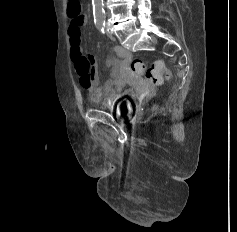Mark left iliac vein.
<instances>
[{
    "mask_svg": "<svg viewBox=\"0 0 237 232\" xmlns=\"http://www.w3.org/2000/svg\"><path fill=\"white\" fill-rule=\"evenodd\" d=\"M107 35L111 40H113V41L115 40L114 35L109 30H107Z\"/></svg>",
    "mask_w": 237,
    "mask_h": 232,
    "instance_id": "1",
    "label": "left iliac vein"
}]
</instances>
